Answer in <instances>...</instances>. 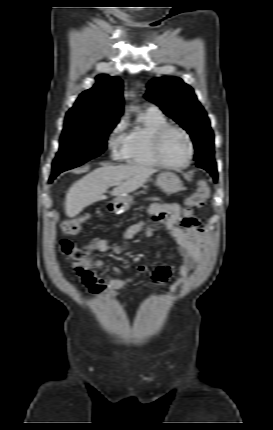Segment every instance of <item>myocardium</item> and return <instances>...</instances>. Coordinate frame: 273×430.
Listing matches in <instances>:
<instances>
[{"mask_svg": "<svg viewBox=\"0 0 273 430\" xmlns=\"http://www.w3.org/2000/svg\"><path fill=\"white\" fill-rule=\"evenodd\" d=\"M171 130H176V131H179L180 133H182L184 135L186 141H187V144H188V157H187L186 161L180 165L170 164V163L166 162L162 156L161 148H162L163 139H164L165 135ZM152 150H153L154 158H155L156 162L159 164V166H162L164 168L171 169V170H182V169L187 168L191 164L193 157H194V146H193V142H192L190 134L183 127L178 126V125H174V124H166V125L160 127L155 132V134L153 136V141H152Z\"/></svg>", "mask_w": 273, "mask_h": 430, "instance_id": "obj_1", "label": "myocardium"}]
</instances>
